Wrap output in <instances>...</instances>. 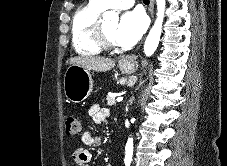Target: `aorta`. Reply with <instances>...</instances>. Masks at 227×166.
Listing matches in <instances>:
<instances>
[{
	"mask_svg": "<svg viewBox=\"0 0 227 166\" xmlns=\"http://www.w3.org/2000/svg\"><path fill=\"white\" fill-rule=\"evenodd\" d=\"M156 4H157V18L144 44V53L148 57L154 54L160 41L166 2L165 0H156ZM103 18L105 20H112V21H118L119 19L118 14L115 11H106L103 14ZM132 156H133V139L129 138L125 147L126 165H129L131 163Z\"/></svg>",
	"mask_w": 227,
	"mask_h": 166,
	"instance_id": "obj_1",
	"label": "aorta"
}]
</instances>
